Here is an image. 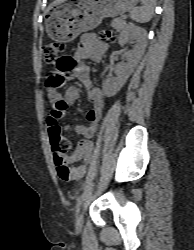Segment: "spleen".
<instances>
[{
    "label": "spleen",
    "mask_w": 194,
    "mask_h": 250,
    "mask_svg": "<svg viewBox=\"0 0 194 250\" xmlns=\"http://www.w3.org/2000/svg\"><path fill=\"white\" fill-rule=\"evenodd\" d=\"M141 2L142 6L135 7L130 12V18L138 23H146L152 18L155 0H141Z\"/></svg>",
    "instance_id": "3e777b00"
}]
</instances>
